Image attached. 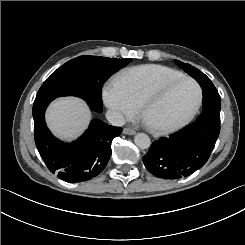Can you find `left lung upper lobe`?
I'll list each match as a JSON object with an SVG mask.
<instances>
[{
    "label": "left lung upper lobe",
    "mask_w": 245,
    "mask_h": 245,
    "mask_svg": "<svg viewBox=\"0 0 245 245\" xmlns=\"http://www.w3.org/2000/svg\"><path fill=\"white\" fill-rule=\"evenodd\" d=\"M175 63L178 64L181 68H183L189 75H191L197 81L207 77L203 72L191 66L190 64L180 62L179 60H175Z\"/></svg>",
    "instance_id": "5c2ea615"
}]
</instances>
